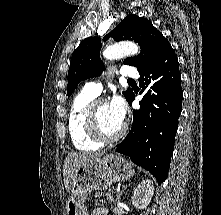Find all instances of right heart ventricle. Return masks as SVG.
<instances>
[{
	"instance_id": "1",
	"label": "right heart ventricle",
	"mask_w": 221,
	"mask_h": 215,
	"mask_svg": "<svg viewBox=\"0 0 221 215\" xmlns=\"http://www.w3.org/2000/svg\"><path fill=\"white\" fill-rule=\"evenodd\" d=\"M95 97L84 90L73 98L70 105L67 127L72 144L79 151L91 152L101 146L87 134L84 126L85 108Z\"/></svg>"
}]
</instances>
